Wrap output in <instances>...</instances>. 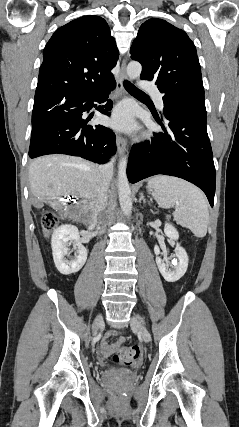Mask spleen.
Returning <instances> with one entry per match:
<instances>
[{
    "label": "spleen",
    "instance_id": "obj_1",
    "mask_svg": "<svg viewBox=\"0 0 239 427\" xmlns=\"http://www.w3.org/2000/svg\"><path fill=\"white\" fill-rule=\"evenodd\" d=\"M154 189L153 197L161 208H175L174 219L181 226L190 229L197 237L207 233L209 211L203 192L185 180L157 175L148 181Z\"/></svg>",
    "mask_w": 239,
    "mask_h": 427
}]
</instances>
